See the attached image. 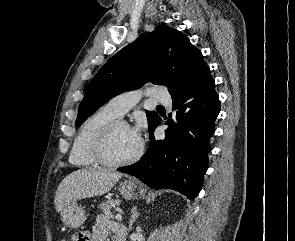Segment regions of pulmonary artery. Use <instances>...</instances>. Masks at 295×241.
I'll list each match as a JSON object with an SVG mask.
<instances>
[{
  "label": "pulmonary artery",
  "mask_w": 295,
  "mask_h": 241,
  "mask_svg": "<svg viewBox=\"0 0 295 241\" xmlns=\"http://www.w3.org/2000/svg\"><path fill=\"white\" fill-rule=\"evenodd\" d=\"M143 94L151 96L155 101L170 106L172 104L170 94L160 86L153 87L146 91L133 90L121 93L112 97L106 104V107L117 116H123L128 110L134 107Z\"/></svg>",
  "instance_id": "1"
}]
</instances>
